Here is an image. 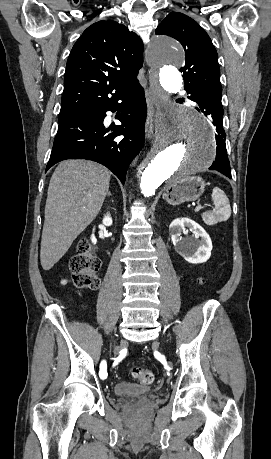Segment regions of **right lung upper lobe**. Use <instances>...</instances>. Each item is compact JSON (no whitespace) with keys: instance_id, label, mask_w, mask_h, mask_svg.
Returning <instances> with one entry per match:
<instances>
[{"instance_id":"1","label":"right lung upper lobe","mask_w":271,"mask_h":459,"mask_svg":"<svg viewBox=\"0 0 271 459\" xmlns=\"http://www.w3.org/2000/svg\"><path fill=\"white\" fill-rule=\"evenodd\" d=\"M143 43L128 28L111 20L88 27L69 55L60 112L98 106L138 83Z\"/></svg>"}]
</instances>
